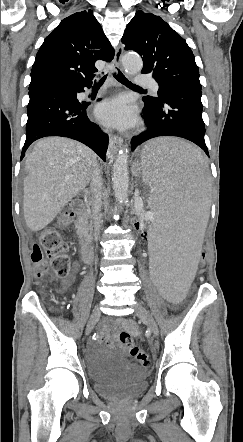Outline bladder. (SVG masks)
Wrapping results in <instances>:
<instances>
[{
    "instance_id": "obj_1",
    "label": "bladder",
    "mask_w": 243,
    "mask_h": 442,
    "mask_svg": "<svg viewBox=\"0 0 243 442\" xmlns=\"http://www.w3.org/2000/svg\"><path fill=\"white\" fill-rule=\"evenodd\" d=\"M87 372L95 391L110 400L135 398L147 387V370L125 359L93 354L87 362Z\"/></svg>"
}]
</instances>
